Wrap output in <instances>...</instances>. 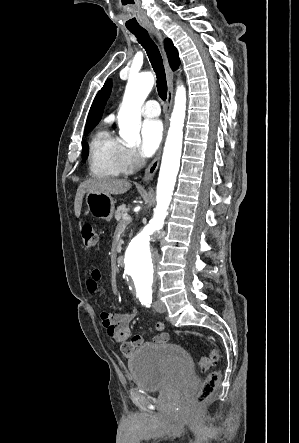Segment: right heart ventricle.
I'll return each mask as SVG.
<instances>
[{"mask_svg":"<svg viewBox=\"0 0 299 443\" xmlns=\"http://www.w3.org/2000/svg\"><path fill=\"white\" fill-rule=\"evenodd\" d=\"M121 143L107 129L98 130L89 147V170L99 178L117 177L123 171L120 165Z\"/></svg>","mask_w":299,"mask_h":443,"instance_id":"e07e8e85","label":"right heart ventricle"}]
</instances>
